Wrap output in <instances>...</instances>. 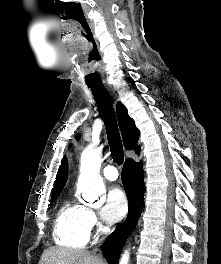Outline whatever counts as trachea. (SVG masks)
<instances>
[{"label":"trachea","mask_w":221,"mask_h":264,"mask_svg":"<svg viewBox=\"0 0 221 264\" xmlns=\"http://www.w3.org/2000/svg\"><path fill=\"white\" fill-rule=\"evenodd\" d=\"M88 87L92 89L94 98L104 121L113 161L118 165H121L124 160L123 145L110 97L103 85H88Z\"/></svg>","instance_id":"3493384b"}]
</instances>
